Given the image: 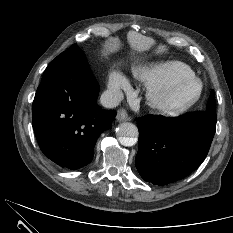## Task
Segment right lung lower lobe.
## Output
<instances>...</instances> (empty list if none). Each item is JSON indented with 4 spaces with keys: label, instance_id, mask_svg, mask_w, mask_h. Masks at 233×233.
<instances>
[{
    "label": "right lung lower lobe",
    "instance_id": "98d812e1",
    "mask_svg": "<svg viewBox=\"0 0 233 233\" xmlns=\"http://www.w3.org/2000/svg\"><path fill=\"white\" fill-rule=\"evenodd\" d=\"M99 87L86 60L49 64L33 101V128L42 152L57 165L79 169L94 156L99 135L111 128L114 110L97 105Z\"/></svg>",
    "mask_w": 233,
    "mask_h": 233
}]
</instances>
